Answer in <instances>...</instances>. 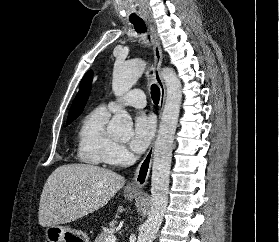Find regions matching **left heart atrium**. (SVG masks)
Instances as JSON below:
<instances>
[{"instance_id": "obj_1", "label": "left heart atrium", "mask_w": 279, "mask_h": 242, "mask_svg": "<svg viewBox=\"0 0 279 242\" xmlns=\"http://www.w3.org/2000/svg\"><path fill=\"white\" fill-rule=\"evenodd\" d=\"M155 133V121L146 113H139L134 121L130 139V148L136 153H142L149 146Z\"/></svg>"}]
</instances>
